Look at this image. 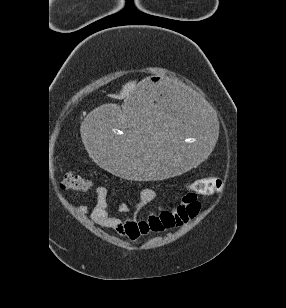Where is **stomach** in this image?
<instances>
[{
    "instance_id": "obj_1",
    "label": "stomach",
    "mask_w": 286,
    "mask_h": 308,
    "mask_svg": "<svg viewBox=\"0 0 286 308\" xmlns=\"http://www.w3.org/2000/svg\"><path fill=\"white\" fill-rule=\"evenodd\" d=\"M180 81L147 77L129 93L124 113L114 103L88 109L84 149L95 165L127 182L183 177L211 158L219 125L209 100L176 91Z\"/></svg>"
}]
</instances>
